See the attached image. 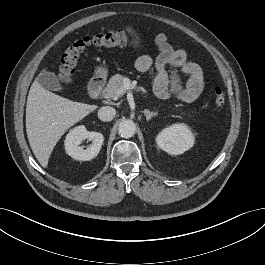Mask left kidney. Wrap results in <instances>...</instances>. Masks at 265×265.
<instances>
[{"mask_svg": "<svg viewBox=\"0 0 265 265\" xmlns=\"http://www.w3.org/2000/svg\"><path fill=\"white\" fill-rule=\"evenodd\" d=\"M194 135L185 124H173L156 137L158 146L171 155H179L194 145Z\"/></svg>", "mask_w": 265, "mask_h": 265, "instance_id": "left-kidney-1", "label": "left kidney"}]
</instances>
